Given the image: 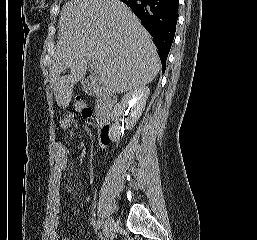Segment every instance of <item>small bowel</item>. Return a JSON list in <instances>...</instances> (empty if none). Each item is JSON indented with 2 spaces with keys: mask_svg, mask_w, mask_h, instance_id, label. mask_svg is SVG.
<instances>
[{
  "mask_svg": "<svg viewBox=\"0 0 257 240\" xmlns=\"http://www.w3.org/2000/svg\"><path fill=\"white\" fill-rule=\"evenodd\" d=\"M55 170H54V193L51 208L50 217V240H69L66 238H60L58 233L59 225V186L62 178V174L68 168V148L66 141L63 137L56 140L53 146Z\"/></svg>",
  "mask_w": 257,
  "mask_h": 240,
  "instance_id": "obj_1",
  "label": "small bowel"
}]
</instances>
